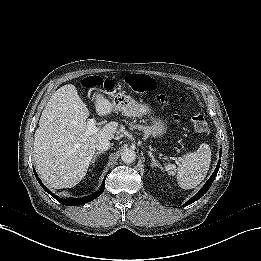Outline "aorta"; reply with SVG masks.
I'll use <instances>...</instances> for the list:
<instances>
[{"label": "aorta", "instance_id": "762f6f07", "mask_svg": "<svg viewBox=\"0 0 261 261\" xmlns=\"http://www.w3.org/2000/svg\"><path fill=\"white\" fill-rule=\"evenodd\" d=\"M136 159V152L132 149H125L122 153H121V160L125 163V164H131L135 161Z\"/></svg>", "mask_w": 261, "mask_h": 261}]
</instances>
